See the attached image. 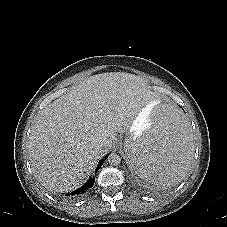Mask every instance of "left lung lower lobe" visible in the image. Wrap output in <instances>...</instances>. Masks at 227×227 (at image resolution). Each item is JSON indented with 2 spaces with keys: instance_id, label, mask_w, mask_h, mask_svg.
Listing matches in <instances>:
<instances>
[{
  "instance_id": "left-lung-lower-lobe-1",
  "label": "left lung lower lobe",
  "mask_w": 227,
  "mask_h": 227,
  "mask_svg": "<svg viewBox=\"0 0 227 227\" xmlns=\"http://www.w3.org/2000/svg\"><path fill=\"white\" fill-rule=\"evenodd\" d=\"M192 144V136H181L180 133H175L171 141L162 149L155 150L156 154L160 156V168L162 171L171 172L174 166L179 167L181 162V157L184 154L187 146ZM143 159L141 153L138 154L137 161L138 163ZM132 169L137 172L136 166H131ZM138 167V164H137ZM138 173V172H137Z\"/></svg>"
}]
</instances>
